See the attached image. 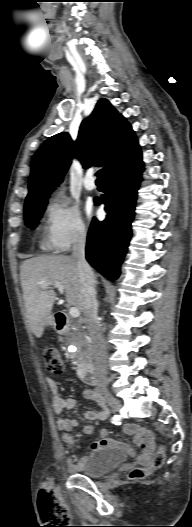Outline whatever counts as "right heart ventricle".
I'll return each instance as SVG.
<instances>
[{
    "label": "right heart ventricle",
    "instance_id": "obj_1",
    "mask_svg": "<svg viewBox=\"0 0 192 527\" xmlns=\"http://www.w3.org/2000/svg\"><path fill=\"white\" fill-rule=\"evenodd\" d=\"M44 247H48L47 243H46V244H44Z\"/></svg>",
    "mask_w": 192,
    "mask_h": 527
}]
</instances>
